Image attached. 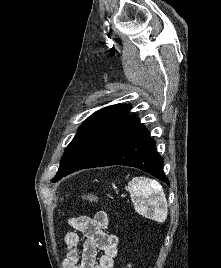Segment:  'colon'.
<instances>
[{
    "label": "colon",
    "mask_w": 221,
    "mask_h": 268,
    "mask_svg": "<svg viewBox=\"0 0 221 268\" xmlns=\"http://www.w3.org/2000/svg\"><path fill=\"white\" fill-rule=\"evenodd\" d=\"M83 201L87 203H96L98 201V197L96 195H87L83 197ZM123 268H129V266H124Z\"/></svg>",
    "instance_id": "1"
}]
</instances>
